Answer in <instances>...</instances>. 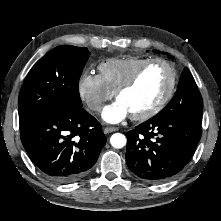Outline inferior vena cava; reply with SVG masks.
Segmentation results:
<instances>
[{
  "label": "inferior vena cava",
  "mask_w": 221,
  "mask_h": 221,
  "mask_svg": "<svg viewBox=\"0 0 221 221\" xmlns=\"http://www.w3.org/2000/svg\"><path fill=\"white\" fill-rule=\"evenodd\" d=\"M102 107H103L102 103H96L91 106V109L95 110V111H100L102 109Z\"/></svg>",
  "instance_id": "602c4592"
}]
</instances>
